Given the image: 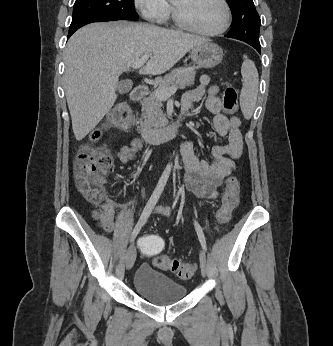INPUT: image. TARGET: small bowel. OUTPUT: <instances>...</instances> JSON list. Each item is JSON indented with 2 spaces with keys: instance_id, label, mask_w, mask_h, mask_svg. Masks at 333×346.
<instances>
[{
  "instance_id": "c3829d8e",
  "label": "small bowel",
  "mask_w": 333,
  "mask_h": 346,
  "mask_svg": "<svg viewBox=\"0 0 333 346\" xmlns=\"http://www.w3.org/2000/svg\"><path fill=\"white\" fill-rule=\"evenodd\" d=\"M209 83L208 76H201L199 85L187 90L182 97V113L184 114L195 102L207 95L206 107L214 116V128L221 137L227 138L226 144L212 147L211 161L196 156L192 141L185 140L181 145L185 187L200 198L201 203L218 197V188L234 170L235 160L241 156L243 149L240 118L235 115L227 117L222 113L221 100L217 96L219 88L216 85L209 86ZM143 146L144 143L140 139H135L130 145L120 146L117 150L118 160L122 165H126L137 157ZM155 211L161 215H168L172 210L159 205ZM93 219L105 232L112 233L115 229L113 202L103 203L93 212Z\"/></svg>"
}]
</instances>
